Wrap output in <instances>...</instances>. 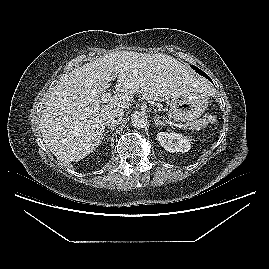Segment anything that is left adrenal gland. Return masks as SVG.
Returning <instances> with one entry per match:
<instances>
[{
  "instance_id": "obj_1",
  "label": "left adrenal gland",
  "mask_w": 269,
  "mask_h": 269,
  "mask_svg": "<svg viewBox=\"0 0 269 269\" xmlns=\"http://www.w3.org/2000/svg\"><path fill=\"white\" fill-rule=\"evenodd\" d=\"M154 121H155V125L156 126H159V125L160 126H165L166 125L163 121L160 120V117L159 116H156L155 119H154Z\"/></svg>"
}]
</instances>
